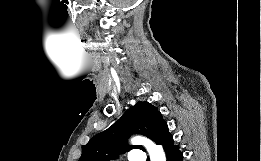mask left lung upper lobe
<instances>
[{"label":"left lung upper lobe","mask_w":261,"mask_h":161,"mask_svg":"<svg viewBox=\"0 0 261 161\" xmlns=\"http://www.w3.org/2000/svg\"><path fill=\"white\" fill-rule=\"evenodd\" d=\"M134 133L145 135L156 144H160L170 134L157 108L147 101L138 102L115 124L83 145L79 161H109L134 148L145 151L141 146L127 143L129 136Z\"/></svg>","instance_id":"left-lung-upper-lobe-1"}]
</instances>
